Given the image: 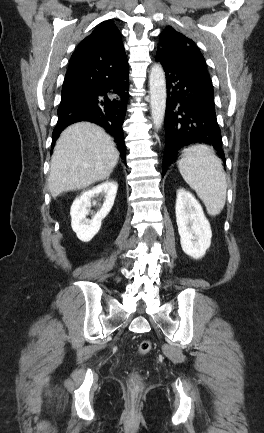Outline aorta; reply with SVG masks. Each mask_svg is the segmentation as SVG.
<instances>
[{"label": "aorta", "mask_w": 264, "mask_h": 433, "mask_svg": "<svg viewBox=\"0 0 264 433\" xmlns=\"http://www.w3.org/2000/svg\"><path fill=\"white\" fill-rule=\"evenodd\" d=\"M151 116L158 131L163 124L166 109V79L160 64H154L149 75Z\"/></svg>", "instance_id": "762f6f07"}]
</instances>
